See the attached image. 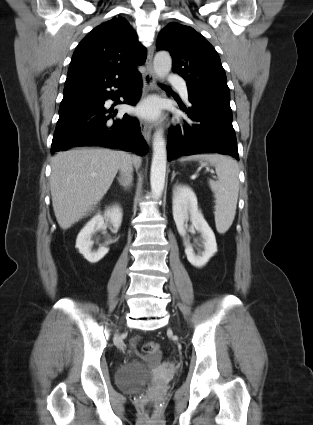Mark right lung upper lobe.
<instances>
[{"label":"right lung upper lobe","instance_id":"cb5924a9","mask_svg":"<svg viewBox=\"0 0 313 425\" xmlns=\"http://www.w3.org/2000/svg\"><path fill=\"white\" fill-rule=\"evenodd\" d=\"M147 57L137 34L121 16H115L88 33L76 47L66 81L126 77Z\"/></svg>","mask_w":313,"mask_h":425}]
</instances>
